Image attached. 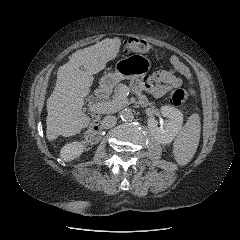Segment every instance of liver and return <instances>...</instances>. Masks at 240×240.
I'll list each match as a JSON object with an SVG mask.
<instances>
[{
	"mask_svg": "<svg viewBox=\"0 0 240 240\" xmlns=\"http://www.w3.org/2000/svg\"><path fill=\"white\" fill-rule=\"evenodd\" d=\"M120 46L119 38H106L74 52L70 60L58 68L54 90L47 100L48 140L60 135H76L89 125L90 118L83 113L82 107L93 84V75L118 56ZM82 66L85 71L80 69Z\"/></svg>",
	"mask_w": 240,
	"mask_h": 240,
	"instance_id": "obj_1",
	"label": "liver"
}]
</instances>
